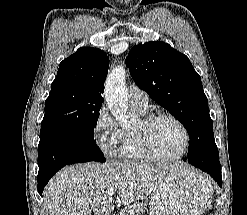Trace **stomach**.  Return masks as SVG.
<instances>
[{
  "label": "stomach",
  "mask_w": 247,
  "mask_h": 215,
  "mask_svg": "<svg viewBox=\"0 0 247 215\" xmlns=\"http://www.w3.org/2000/svg\"><path fill=\"white\" fill-rule=\"evenodd\" d=\"M213 194L211 182L199 171L182 168L170 174L149 197L150 215H201Z\"/></svg>",
  "instance_id": "obj_1"
}]
</instances>
